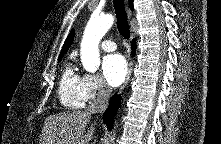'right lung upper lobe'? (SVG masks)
Listing matches in <instances>:
<instances>
[{
	"label": "right lung upper lobe",
	"mask_w": 221,
	"mask_h": 144,
	"mask_svg": "<svg viewBox=\"0 0 221 144\" xmlns=\"http://www.w3.org/2000/svg\"><path fill=\"white\" fill-rule=\"evenodd\" d=\"M129 5H130V8L133 9V0H129ZM74 29H72V31L69 33L64 45H63V48L61 50V53H60V56H59V60H61V58L63 57V55L65 54V52L69 49L70 45L72 44L73 42V39H74Z\"/></svg>",
	"instance_id": "obj_1"
}]
</instances>
